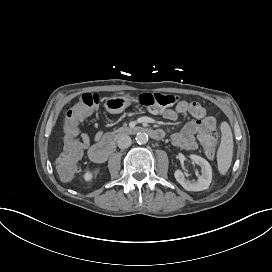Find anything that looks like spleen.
Returning <instances> with one entry per match:
<instances>
[{"mask_svg": "<svg viewBox=\"0 0 272 272\" xmlns=\"http://www.w3.org/2000/svg\"><path fill=\"white\" fill-rule=\"evenodd\" d=\"M221 143L217 151V163L220 174L225 175L230 168L233 156V136L227 122H222L221 126Z\"/></svg>", "mask_w": 272, "mask_h": 272, "instance_id": "1", "label": "spleen"}]
</instances>
